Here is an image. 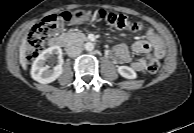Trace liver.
Listing matches in <instances>:
<instances>
[{
	"instance_id": "1",
	"label": "liver",
	"mask_w": 194,
	"mask_h": 133,
	"mask_svg": "<svg viewBox=\"0 0 194 133\" xmlns=\"http://www.w3.org/2000/svg\"><path fill=\"white\" fill-rule=\"evenodd\" d=\"M27 50H28L27 38L25 37L19 49V61L24 70L27 69V59H26Z\"/></svg>"
}]
</instances>
